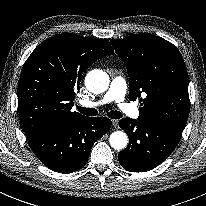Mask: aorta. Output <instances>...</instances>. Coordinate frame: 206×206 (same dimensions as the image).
Here are the masks:
<instances>
[{"mask_svg":"<svg viewBox=\"0 0 206 206\" xmlns=\"http://www.w3.org/2000/svg\"><path fill=\"white\" fill-rule=\"evenodd\" d=\"M85 85L90 92L99 94L107 90L109 77L104 71L94 69L87 73ZM109 143L112 148L122 150L128 144V137L123 131H115L110 135Z\"/></svg>","mask_w":206,"mask_h":206,"instance_id":"762f6f07","label":"aorta"}]
</instances>
